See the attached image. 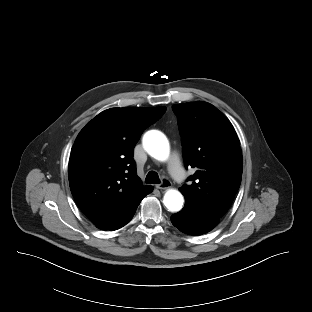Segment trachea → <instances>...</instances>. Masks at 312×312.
Masks as SVG:
<instances>
[{"instance_id": "3493384b", "label": "trachea", "mask_w": 312, "mask_h": 312, "mask_svg": "<svg viewBox=\"0 0 312 312\" xmlns=\"http://www.w3.org/2000/svg\"><path fill=\"white\" fill-rule=\"evenodd\" d=\"M146 183H149V184H159L160 183V179H159V176H158L157 172L150 171L147 174V176H146Z\"/></svg>"}]
</instances>
